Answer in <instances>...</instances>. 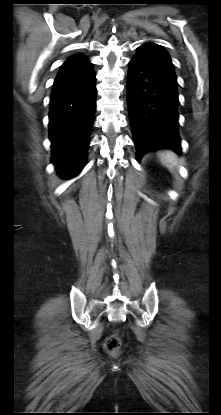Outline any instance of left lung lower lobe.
Listing matches in <instances>:
<instances>
[{
    "label": "left lung lower lobe",
    "mask_w": 221,
    "mask_h": 415,
    "mask_svg": "<svg viewBox=\"0 0 221 415\" xmlns=\"http://www.w3.org/2000/svg\"><path fill=\"white\" fill-rule=\"evenodd\" d=\"M176 75L150 58L134 56L127 75V106L137 158L158 149L181 152Z\"/></svg>",
    "instance_id": "left-lung-lower-lobe-1"
}]
</instances>
